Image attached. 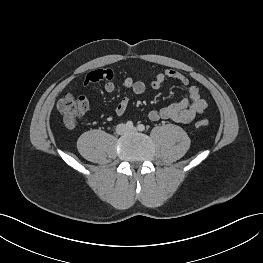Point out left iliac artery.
Instances as JSON below:
<instances>
[{
  "label": "left iliac artery",
  "mask_w": 263,
  "mask_h": 263,
  "mask_svg": "<svg viewBox=\"0 0 263 263\" xmlns=\"http://www.w3.org/2000/svg\"><path fill=\"white\" fill-rule=\"evenodd\" d=\"M137 128H138L139 131H144L145 130V126L143 124H139L137 126Z\"/></svg>",
  "instance_id": "44dca946"
}]
</instances>
